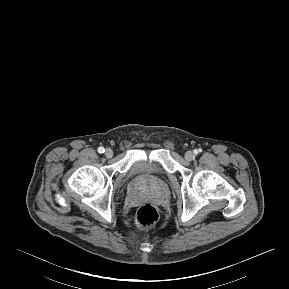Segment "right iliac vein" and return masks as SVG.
<instances>
[{
    "label": "right iliac vein",
    "mask_w": 289,
    "mask_h": 289,
    "mask_svg": "<svg viewBox=\"0 0 289 289\" xmlns=\"http://www.w3.org/2000/svg\"><path fill=\"white\" fill-rule=\"evenodd\" d=\"M105 156H106L107 158H111V157L113 156V151H112V149L107 148V149L105 150Z\"/></svg>",
    "instance_id": "63e3f726"
}]
</instances>
